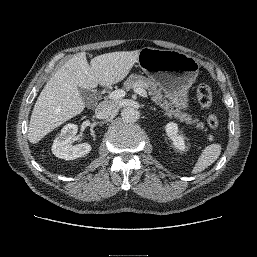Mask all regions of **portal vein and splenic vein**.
Wrapping results in <instances>:
<instances>
[{"mask_svg":"<svg viewBox=\"0 0 257 257\" xmlns=\"http://www.w3.org/2000/svg\"><path fill=\"white\" fill-rule=\"evenodd\" d=\"M135 93L141 95L142 97H147V92L146 90H144L143 88L141 87H136L134 89ZM125 91L123 89H118V90H115V91H112L109 95H108V98L109 99H120L122 97L125 96Z\"/></svg>","mask_w":257,"mask_h":257,"instance_id":"portal-vein-and-splenic-vein-1","label":"portal vein and splenic vein"}]
</instances>
